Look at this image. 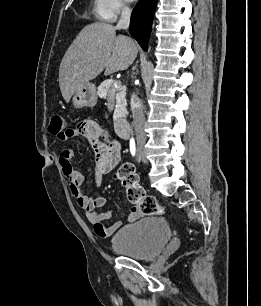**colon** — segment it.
Masks as SVG:
<instances>
[{
    "mask_svg": "<svg viewBox=\"0 0 261 306\" xmlns=\"http://www.w3.org/2000/svg\"><path fill=\"white\" fill-rule=\"evenodd\" d=\"M49 131L61 139L68 136V130L65 128V120L60 112L52 113ZM115 178L126 188L128 200L135 205V208L141 214H163L164 208L158 203L155 197L147 195L139 184L135 167L131 163L122 164L116 171Z\"/></svg>",
    "mask_w": 261,
    "mask_h": 306,
    "instance_id": "5ec220e1",
    "label": "colon"
}]
</instances>
